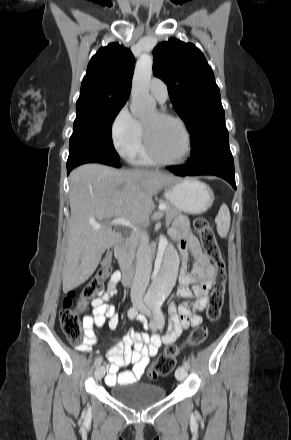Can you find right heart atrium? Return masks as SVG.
<instances>
[{
    "instance_id": "right-heart-atrium-1",
    "label": "right heart atrium",
    "mask_w": 291,
    "mask_h": 440,
    "mask_svg": "<svg viewBox=\"0 0 291 440\" xmlns=\"http://www.w3.org/2000/svg\"><path fill=\"white\" fill-rule=\"evenodd\" d=\"M142 125L131 114L127 105L117 113L111 126V139L115 150L129 158L138 148L142 138Z\"/></svg>"
}]
</instances>
